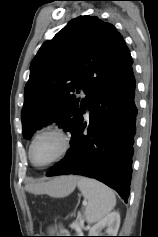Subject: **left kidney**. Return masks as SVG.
<instances>
[{
  "mask_svg": "<svg viewBox=\"0 0 158 237\" xmlns=\"http://www.w3.org/2000/svg\"><path fill=\"white\" fill-rule=\"evenodd\" d=\"M119 226L120 214L111 212L90 228L89 236H117ZM102 230H105V234H102Z\"/></svg>",
  "mask_w": 158,
  "mask_h": 237,
  "instance_id": "left-kidney-1",
  "label": "left kidney"
}]
</instances>
